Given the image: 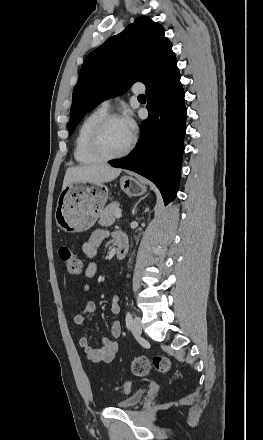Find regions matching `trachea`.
Instances as JSON below:
<instances>
[{
	"label": "trachea",
	"mask_w": 263,
	"mask_h": 440,
	"mask_svg": "<svg viewBox=\"0 0 263 440\" xmlns=\"http://www.w3.org/2000/svg\"><path fill=\"white\" fill-rule=\"evenodd\" d=\"M138 97H145V95L141 94V95H139Z\"/></svg>",
	"instance_id": "1"
}]
</instances>
